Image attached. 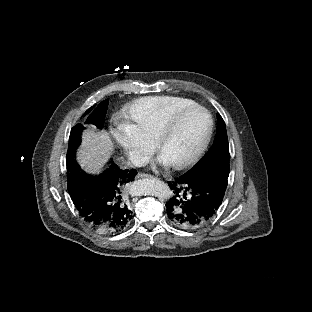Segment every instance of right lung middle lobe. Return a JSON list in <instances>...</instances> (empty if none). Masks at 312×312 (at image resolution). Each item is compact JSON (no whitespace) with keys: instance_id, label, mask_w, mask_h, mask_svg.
Returning <instances> with one entry per match:
<instances>
[{"instance_id":"right-lung-middle-lobe-1","label":"right lung middle lobe","mask_w":312,"mask_h":312,"mask_svg":"<svg viewBox=\"0 0 312 312\" xmlns=\"http://www.w3.org/2000/svg\"><path fill=\"white\" fill-rule=\"evenodd\" d=\"M107 106L108 101L104 100L90 113L85 121L77 124L72 128L66 155L67 171L74 164L73 162L75 161V152L80 144L82 131L85 129L83 124L91 123L97 128L101 129L103 127Z\"/></svg>"}]
</instances>
